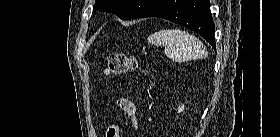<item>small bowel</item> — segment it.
<instances>
[{
    "label": "small bowel",
    "mask_w": 280,
    "mask_h": 137,
    "mask_svg": "<svg viewBox=\"0 0 280 137\" xmlns=\"http://www.w3.org/2000/svg\"><path fill=\"white\" fill-rule=\"evenodd\" d=\"M118 108L125 114L134 130L138 129L137 118L139 114V108L135 102L127 98H121L117 101ZM110 127H118L112 125ZM109 127V128H110Z\"/></svg>",
    "instance_id": "small-bowel-1"
}]
</instances>
